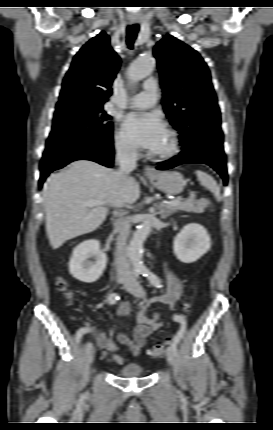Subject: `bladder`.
Returning <instances> with one entry per match:
<instances>
[{"instance_id": "31cf9c89", "label": "bladder", "mask_w": 273, "mask_h": 430, "mask_svg": "<svg viewBox=\"0 0 273 430\" xmlns=\"http://www.w3.org/2000/svg\"><path fill=\"white\" fill-rule=\"evenodd\" d=\"M143 373V367L137 363L127 364L119 370V375L126 378L140 377Z\"/></svg>"}]
</instances>
